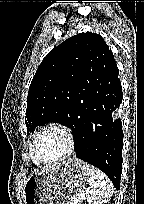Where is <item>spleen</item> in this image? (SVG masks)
<instances>
[{
  "label": "spleen",
  "mask_w": 144,
  "mask_h": 204,
  "mask_svg": "<svg viewBox=\"0 0 144 204\" xmlns=\"http://www.w3.org/2000/svg\"><path fill=\"white\" fill-rule=\"evenodd\" d=\"M88 184L85 194L89 204H104L113 194V185L99 169L88 165Z\"/></svg>",
  "instance_id": "1"
}]
</instances>
